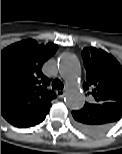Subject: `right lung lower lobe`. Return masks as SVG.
I'll list each match as a JSON object with an SVG mask.
<instances>
[{
	"label": "right lung lower lobe",
	"mask_w": 122,
	"mask_h": 154,
	"mask_svg": "<svg viewBox=\"0 0 122 154\" xmlns=\"http://www.w3.org/2000/svg\"><path fill=\"white\" fill-rule=\"evenodd\" d=\"M44 119H42V120H40L39 122H37L36 124H38V123H40V122H42ZM36 124H34V125H36ZM33 126V125H32Z\"/></svg>",
	"instance_id": "98d812e1"
}]
</instances>
